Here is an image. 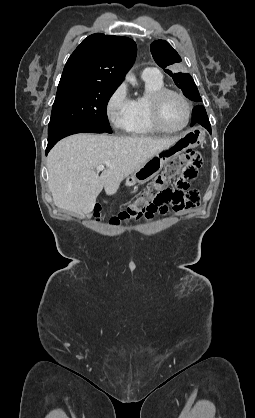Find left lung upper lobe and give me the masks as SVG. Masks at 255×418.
<instances>
[{"label":"left lung upper lobe","mask_w":255,"mask_h":418,"mask_svg":"<svg viewBox=\"0 0 255 418\" xmlns=\"http://www.w3.org/2000/svg\"><path fill=\"white\" fill-rule=\"evenodd\" d=\"M150 48L155 62L173 78L183 94L192 101L201 102L202 99L191 75L175 68L182 60L173 47L165 40H156ZM167 67L172 69H166Z\"/></svg>","instance_id":"obj_1"}]
</instances>
